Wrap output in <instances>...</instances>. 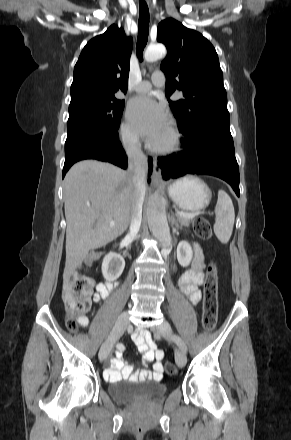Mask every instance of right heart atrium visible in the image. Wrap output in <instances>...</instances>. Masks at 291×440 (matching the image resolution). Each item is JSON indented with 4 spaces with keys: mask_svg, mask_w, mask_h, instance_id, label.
Segmentation results:
<instances>
[{
    "mask_svg": "<svg viewBox=\"0 0 291 440\" xmlns=\"http://www.w3.org/2000/svg\"><path fill=\"white\" fill-rule=\"evenodd\" d=\"M120 139L125 149H131L138 145V138L127 123H123L121 126Z\"/></svg>",
    "mask_w": 291,
    "mask_h": 440,
    "instance_id": "obj_1",
    "label": "right heart atrium"
}]
</instances>
